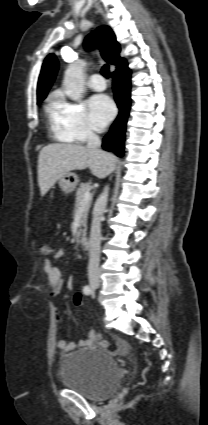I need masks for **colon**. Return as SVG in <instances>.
I'll return each instance as SVG.
<instances>
[{
    "label": "colon",
    "instance_id": "1",
    "mask_svg": "<svg viewBox=\"0 0 208 425\" xmlns=\"http://www.w3.org/2000/svg\"><path fill=\"white\" fill-rule=\"evenodd\" d=\"M38 249L39 252L44 256L50 255L54 252V249L46 243H41ZM74 303L77 306L81 304V296L79 294L74 295ZM94 340L103 348L109 347V342L96 332L94 334Z\"/></svg>",
    "mask_w": 208,
    "mask_h": 425
}]
</instances>
